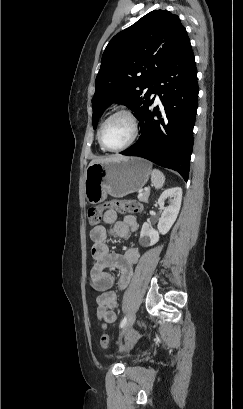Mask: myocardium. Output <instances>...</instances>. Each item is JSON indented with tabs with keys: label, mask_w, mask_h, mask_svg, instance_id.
<instances>
[{
	"label": "myocardium",
	"mask_w": 243,
	"mask_h": 409,
	"mask_svg": "<svg viewBox=\"0 0 243 409\" xmlns=\"http://www.w3.org/2000/svg\"><path fill=\"white\" fill-rule=\"evenodd\" d=\"M117 116H125L126 118H128L132 124V136L131 138L121 147L118 148H110L108 147L104 140H103V128L106 125V123L108 121H110L111 119L117 117ZM140 132V123L138 120L137 115L134 113L133 110H131L130 108L127 107H122L119 108L117 110H115L114 112H112L109 116H107L103 122L101 123L99 130H98V141L100 146L106 150V151H110V152H120L123 151L124 149L128 148L129 146H131L136 139L138 138Z\"/></svg>",
	"instance_id": "myocardium-1"
}]
</instances>
